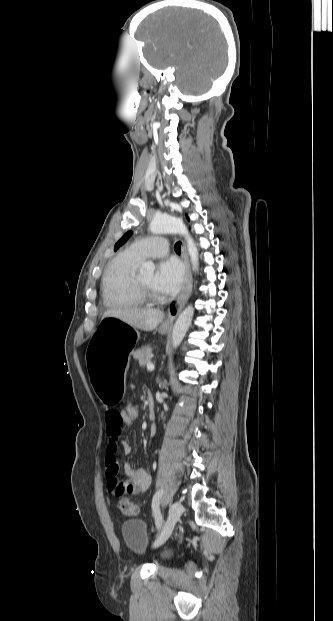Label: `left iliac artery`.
I'll return each mask as SVG.
<instances>
[{"label": "left iliac artery", "instance_id": "left-iliac-artery-1", "mask_svg": "<svg viewBox=\"0 0 333 621\" xmlns=\"http://www.w3.org/2000/svg\"><path fill=\"white\" fill-rule=\"evenodd\" d=\"M163 494H164V490L160 489V490H158L155 493V495H154V497L152 499V510H153V515H154V518H155V524H156V528L157 529H159L161 527L162 522H163L162 515H161V512H160V508H159L160 500H161Z\"/></svg>", "mask_w": 333, "mask_h": 621}]
</instances>
